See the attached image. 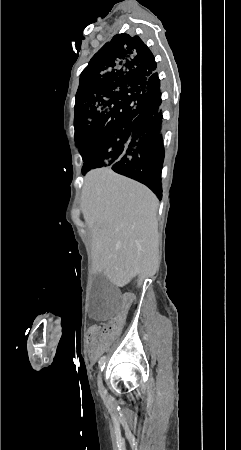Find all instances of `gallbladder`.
<instances>
[{"instance_id": "gallbladder-1", "label": "gallbladder", "mask_w": 241, "mask_h": 450, "mask_svg": "<svg viewBox=\"0 0 241 450\" xmlns=\"http://www.w3.org/2000/svg\"><path fill=\"white\" fill-rule=\"evenodd\" d=\"M93 284L87 303L89 315H92L96 323H109L115 319L119 310V288L114 281H109V278L102 274L94 276Z\"/></svg>"}]
</instances>
